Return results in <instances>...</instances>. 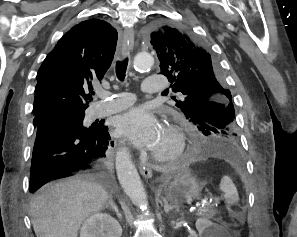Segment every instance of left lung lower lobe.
<instances>
[{
    "label": "left lung lower lobe",
    "instance_id": "left-lung-lower-lobe-1",
    "mask_svg": "<svg viewBox=\"0 0 297 237\" xmlns=\"http://www.w3.org/2000/svg\"><path fill=\"white\" fill-rule=\"evenodd\" d=\"M238 150L230 146L224 139L207 135L203 139H199L194 142L189 150V154L192 156H219L224 158L236 157Z\"/></svg>",
    "mask_w": 297,
    "mask_h": 237
}]
</instances>
